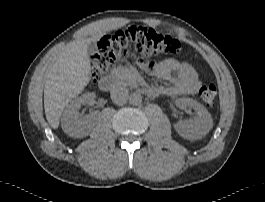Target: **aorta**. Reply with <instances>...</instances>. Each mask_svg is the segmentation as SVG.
Masks as SVG:
<instances>
[{
  "label": "aorta",
  "mask_w": 265,
  "mask_h": 202,
  "mask_svg": "<svg viewBox=\"0 0 265 202\" xmlns=\"http://www.w3.org/2000/svg\"><path fill=\"white\" fill-rule=\"evenodd\" d=\"M129 102L131 105H140L142 103V95L134 92L129 96Z\"/></svg>",
  "instance_id": "aorta-1"
}]
</instances>
